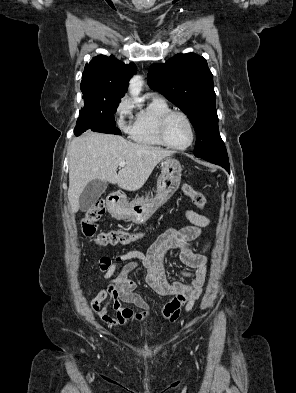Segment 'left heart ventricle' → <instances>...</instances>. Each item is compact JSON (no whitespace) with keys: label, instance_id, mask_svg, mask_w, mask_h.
Wrapping results in <instances>:
<instances>
[{"label":"left heart ventricle","instance_id":"1","mask_svg":"<svg viewBox=\"0 0 296 393\" xmlns=\"http://www.w3.org/2000/svg\"><path fill=\"white\" fill-rule=\"evenodd\" d=\"M166 136L172 145H186L190 140V129L187 122L180 116L172 117L167 125Z\"/></svg>","mask_w":296,"mask_h":393}]
</instances>
